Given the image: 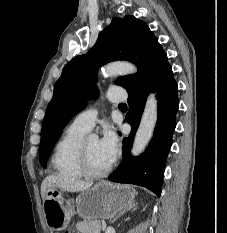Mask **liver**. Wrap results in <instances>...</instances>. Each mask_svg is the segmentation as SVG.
<instances>
[{
    "mask_svg": "<svg viewBox=\"0 0 227 233\" xmlns=\"http://www.w3.org/2000/svg\"><path fill=\"white\" fill-rule=\"evenodd\" d=\"M93 182L75 180L63 175H48L41 184V197L43 202L47 197L49 189L58 188L68 192H82L90 189Z\"/></svg>",
    "mask_w": 227,
    "mask_h": 233,
    "instance_id": "liver-1",
    "label": "liver"
}]
</instances>
